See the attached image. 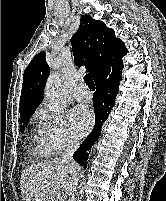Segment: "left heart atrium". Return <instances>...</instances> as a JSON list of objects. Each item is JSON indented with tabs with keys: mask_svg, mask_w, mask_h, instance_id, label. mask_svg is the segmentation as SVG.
<instances>
[{
	"mask_svg": "<svg viewBox=\"0 0 166 201\" xmlns=\"http://www.w3.org/2000/svg\"><path fill=\"white\" fill-rule=\"evenodd\" d=\"M70 122L77 137L84 136L94 124L92 111L86 106H77L70 113Z\"/></svg>",
	"mask_w": 166,
	"mask_h": 201,
	"instance_id": "left-heart-atrium-1",
	"label": "left heart atrium"
}]
</instances>
